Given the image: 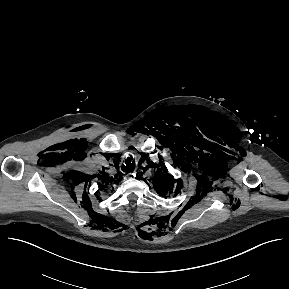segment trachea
Returning <instances> with one entry per match:
<instances>
[{"instance_id":"obj_1","label":"trachea","mask_w":289,"mask_h":289,"mask_svg":"<svg viewBox=\"0 0 289 289\" xmlns=\"http://www.w3.org/2000/svg\"><path fill=\"white\" fill-rule=\"evenodd\" d=\"M125 164H126V166H124V168H123V171L124 172H133L134 171V169H135V163L134 162H131V158H127L126 160H125Z\"/></svg>"}]
</instances>
